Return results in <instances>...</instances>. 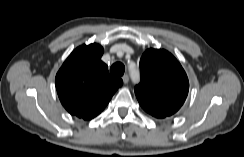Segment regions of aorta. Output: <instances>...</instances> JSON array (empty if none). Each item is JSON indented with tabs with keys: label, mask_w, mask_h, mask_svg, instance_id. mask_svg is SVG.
<instances>
[{
	"label": "aorta",
	"mask_w": 244,
	"mask_h": 157,
	"mask_svg": "<svg viewBox=\"0 0 244 157\" xmlns=\"http://www.w3.org/2000/svg\"><path fill=\"white\" fill-rule=\"evenodd\" d=\"M131 77H132L133 81H135V82L138 81V75L136 72H131Z\"/></svg>",
	"instance_id": "aorta-1"
}]
</instances>
